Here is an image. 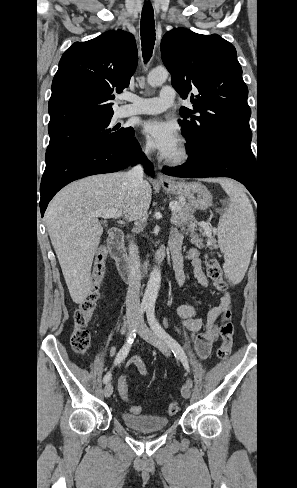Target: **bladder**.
Wrapping results in <instances>:
<instances>
[{
	"label": "bladder",
	"mask_w": 297,
	"mask_h": 488,
	"mask_svg": "<svg viewBox=\"0 0 297 488\" xmlns=\"http://www.w3.org/2000/svg\"><path fill=\"white\" fill-rule=\"evenodd\" d=\"M121 419L127 427L140 432H157L165 429L169 424L166 417L157 415L122 413Z\"/></svg>",
	"instance_id": "bladder-1"
}]
</instances>
